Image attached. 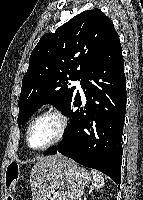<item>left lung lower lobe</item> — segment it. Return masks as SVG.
<instances>
[{
	"label": "left lung lower lobe",
	"instance_id": "0a47b994",
	"mask_svg": "<svg viewBox=\"0 0 143 200\" xmlns=\"http://www.w3.org/2000/svg\"><path fill=\"white\" fill-rule=\"evenodd\" d=\"M80 79L86 105L81 107L77 92L70 106V125L62 142L47 150L45 155L60 152L120 184L127 94L118 35Z\"/></svg>",
	"mask_w": 143,
	"mask_h": 200
}]
</instances>
